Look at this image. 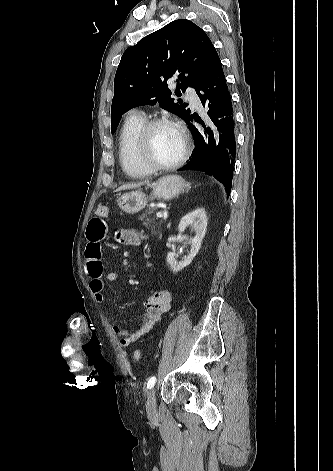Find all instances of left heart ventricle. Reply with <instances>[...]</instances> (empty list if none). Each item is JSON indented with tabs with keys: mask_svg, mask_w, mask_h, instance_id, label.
Listing matches in <instances>:
<instances>
[{
	"mask_svg": "<svg viewBox=\"0 0 333 471\" xmlns=\"http://www.w3.org/2000/svg\"><path fill=\"white\" fill-rule=\"evenodd\" d=\"M182 149V140L178 132L171 126L157 127L151 136V152L158 163L167 164L174 161Z\"/></svg>",
	"mask_w": 333,
	"mask_h": 471,
	"instance_id": "obj_1",
	"label": "left heart ventricle"
}]
</instances>
